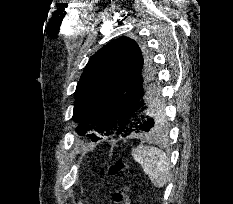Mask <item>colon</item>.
<instances>
[{
  "label": "colon",
  "instance_id": "1",
  "mask_svg": "<svg viewBox=\"0 0 233 204\" xmlns=\"http://www.w3.org/2000/svg\"><path fill=\"white\" fill-rule=\"evenodd\" d=\"M104 175L109 177H115L122 173H126L128 176L134 174V170L129 163L124 159H117L112 162L104 171ZM129 186L125 185L117 189L112 194V202L114 204H129L128 198Z\"/></svg>",
  "mask_w": 233,
  "mask_h": 204
}]
</instances>
